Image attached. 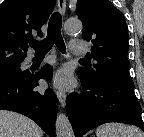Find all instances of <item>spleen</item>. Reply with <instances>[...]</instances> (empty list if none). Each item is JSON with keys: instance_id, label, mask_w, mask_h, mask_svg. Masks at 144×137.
Returning <instances> with one entry per match:
<instances>
[{"instance_id": "1", "label": "spleen", "mask_w": 144, "mask_h": 137, "mask_svg": "<svg viewBox=\"0 0 144 137\" xmlns=\"http://www.w3.org/2000/svg\"><path fill=\"white\" fill-rule=\"evenodd\" d=\"M97 137H144L137 127L122 123H107L96 129Z\"/></svg>"}]
</instances>
